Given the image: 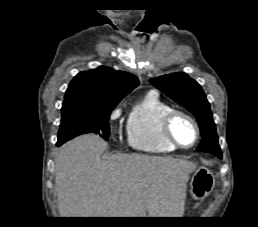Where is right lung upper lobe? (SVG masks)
Masks as SVG:
<instances>
[{"instance_id":"obj_1","label":"right lung upper lobe","mask_w":258,"mask_h":227,"mask_svg":"<svg viewBox=\"0 0 258 227\" xmlns=\"http://www.w3.org/2000/svg\"><path fill=\"white\" fill-rule=\"evenodd\" d=\"M138 84V78L130 73L101 66L76 75L69 84L64 101L117 105Z\"/></svg>"}]
</instances>
